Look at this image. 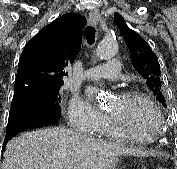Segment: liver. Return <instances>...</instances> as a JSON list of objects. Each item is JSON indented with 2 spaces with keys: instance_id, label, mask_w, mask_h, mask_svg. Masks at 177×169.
I'll use <instances>...</instances> for the list:
<instances>
[{
  "instance_id": "obj_1",
  "label": "liver",
  "mask_w": 177,
  "mask_h": 169,
  "mask_svg": "<svg viewBox=\"0 0 177 169\" xmlns=\"http://www.w3.org/2000/svg\"><path fill=\"white\" fill-rule=\"evenodd\" d=\"M140 154L73 130L46 128L10 140L2 169H108L119 156Z\"/></svg>"
}]
</instances>
